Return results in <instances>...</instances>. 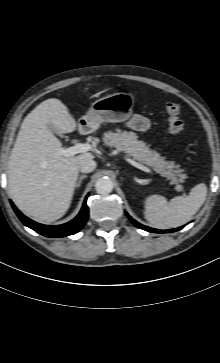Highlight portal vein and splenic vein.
Segmentation results:
<instances>
[{"mask_svg": "<svg viewBox=\"0 0 220 363\" xmlns=\"http://www.w3.org/2000/svg\"><path fill=\"white\" fill-rule=\"evenodd\" d=\"M92 146L88 143H77L76 145L69 147L67 149H61L58 151V155H62L65 157H71L78 153H83L87 151H91ZM126 160L133 166L137 167L138 169L145 171L147 173H152V170L138 162H135L134 160L130 158H126Z\"/></svg>", "mask_w": 220, "mask_h": 363, "instance_id": "obj_1", "label": "portal vein and splenic vein"}]
</instances>
